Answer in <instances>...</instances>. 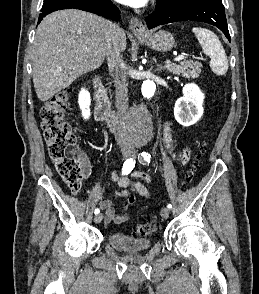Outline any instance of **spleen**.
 I'll list each match as a JSON object with an SVG mask.
<instances>
[{"mask_svg":"<svg viewBox=\"0 0 259 294\" xmlns=\"http://www.w3.org/2000/svg\"><path fill=\"white\" fill-rule=\"evenodd\" d=\"M198 39L204 54L210 56V68L216 75H225L228 70V59L225 50L212 31L205 28L194 27L192 29Z\"/></svg>","mask_w":259,"mask_h":294,"instance_id":"obj_1","label":"spleen"}]
</instances>
